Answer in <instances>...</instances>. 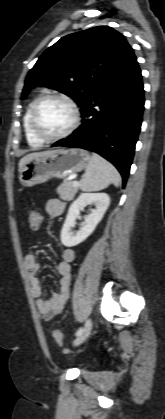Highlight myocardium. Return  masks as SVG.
<instances>
[{
  "instance_id": "obj_1",
  "label": "myocardium",
  "mask_w": 165,
  "mask_h": 419,
  "mask_svg": "<svg viewBox=\"0 0 165 419\" xmlns=\"http://www.w3.org/2000/svg\"><path fill=\"white\" fill-rule=\"evenodd\" d=\"M48 100H57V101H61L65 103L70 108L71 113H72V121H71V124L68 126V128L62 133L58 135H54V136H47L43 132H41L37 123L38 110L40 106ZM79 122H80V112L75 102L71 100L70 98L64 95H60V94H47L38 98L33 104L31 108V112H30L31 130L33 134L42 142H55V141H59L70 136L78 127Z\"/></svg>"
}]
</instances>
